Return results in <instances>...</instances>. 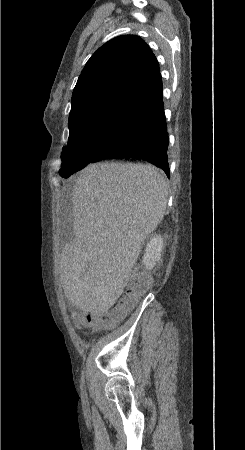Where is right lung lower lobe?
<instances>
[{"label": "right lung lower lobe", "mask_w": 245, "mask_h": 450, "mask_svg": "<svg viewBox=\"0 0 245 450\" xmlns=\"http://www.w3.org/2000/svg\"><path fill=\"white\" fill-rule=\"evenodd\" d=\"M168 134L162 97L135 116L128 135L106 153H99L91 162L102 159L136 158L160 167L170 176Z\"/></svg>", "instance_id": "right-lung-lower-lobe-1"}]
</instances>
